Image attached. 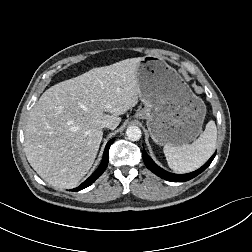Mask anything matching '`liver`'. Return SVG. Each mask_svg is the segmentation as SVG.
<instances>
[{
    "label": "liver",
    "instance_id": "1",
    "mask_svg": "<svg viewBox=\"0 0 252 252\" xmlns=\"http://www.w3.org/2000/svg\"><path fill=\"white\" fill-rule=\"evenodd\" d=\"M140 61L130 58L93 68L41 95L29 112L24 146L28 162L44 181L71 189L88 173L102 141V122L115 129L119 115L138 103Z\"/></svg>",
    "mask_w": 252,
    "mask_h": 252
}]
</instances>
